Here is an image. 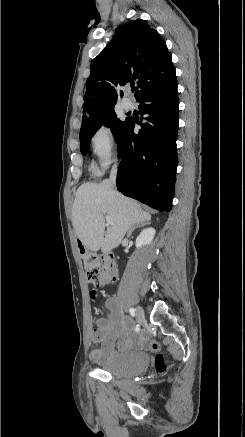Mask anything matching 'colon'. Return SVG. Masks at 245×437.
I'll use <instances>...</instances> for the list:
<instances>
[{
    "label": "colon",
    "instance_id": "colon-1",
    "mask_svg": "<svg viewBox=\"0 0 245 437\" xmlns=\"http://www.w3.org/2000/svg\"><path fill=\"white\" fill-rule=\"evenodd\" d=\"M85 276L88 283L100 288L114 283L118 278V269L115 258L112 255L87 254L84 259ZM97 292L93 291L92 297L95 298ZM150 348L154 351L159 349L157 342H152ZM156 368L159 372H165L167 364L163 356L156 358Z\"/></svg>",
    "mask_w": 245,
    "mask_h": 437
}]
</instances>
